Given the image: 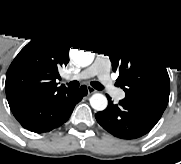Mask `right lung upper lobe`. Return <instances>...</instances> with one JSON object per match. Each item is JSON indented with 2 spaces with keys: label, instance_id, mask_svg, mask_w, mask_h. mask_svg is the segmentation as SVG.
<instances>
[{
  "label": "right lung upper lobe",
  "instance_id": "cb5924a9",
  "mask_svg": "<svg viewBox=\"0 0 181 164\" xmlns=\"http://www.w3.org/2000/svg\"><path fill=\"white\" fill-rule=\"evenodd\" d=\"M91 40V33L81 28H57L31 40L7 71L5 90L9 105L46 101L68 89L57 86L58 68L67 65L74 44Z\"/></svg>",
  "mask_w": 181,
  "mask_h": 164
}]
</instances>
